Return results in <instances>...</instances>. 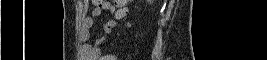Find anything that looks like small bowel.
Wrapping results in <instances>:
<instances>
[{
    "instance_id": "c3829d8e",
    "label": "small bowel",
    "mask_w": 267,
    "mask_h": 60,
    "mask_svg": "<svg viewBox=\"0 0 267 60\" xmlns=\"http://www.w3.org/2000/svg\"><path fill=\"white\" fill-rule=\"evenodd\" d=\"M117 5L109 2L101 3L92 13V16L87 17L82 24V30L80 38L86 42L90 39V28L93 26L95 18L99 17L103 11L109 10L111 12L116 11ZM114 21H108L104 25V35L101 38L96 39L91 45H85L84 50L92 56H97L100 53L101 46L106 42L112 34L114 28Z\"/></svg>"
}]
</instances>
